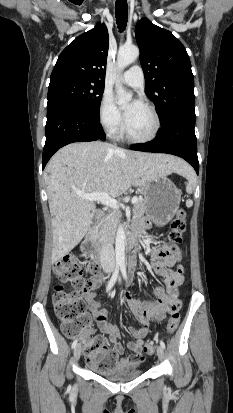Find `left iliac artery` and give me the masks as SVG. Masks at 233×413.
<instances>
[{
    "mask_svg": "<svg viewBox=\"0 0 233 413\" xmlns=\"http://www.w3.org/2000/svg\"><path fill=\"white\" fill-rule=\"evenodd\" d=\"M121 273L124 279L127 281L128 278H127V273H126V265L124 264L121 265ZM160 345L163 349H165V343L162 340H160Z\"/></svg>",
    "mask_w": 233,
    "mask_h": 413,
    "instance_id": "left-iliac-artery-1",
    "label": "left iliac artery"
}]
</instances>
